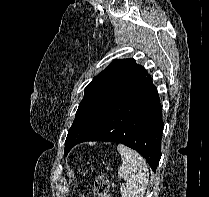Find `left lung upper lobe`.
Masks as SVG:
<instances>
[{"mask_svg": "<svg viewBox=\"0 0 209 197\" xmlns=\"http://www.w3.org/2000/svg\"><path fill=\"white\" fill-rule=\"evenodd\" d=\"M148 75L133 58L114 60L85 88L75 119L65 141V155L96 122L101 114L133 85Z\"/></svg>", "mask_w": 209, "mask_h": 197, "instance_id": "obj_1", "label": "left lung upper lobe"}]
</instances>
